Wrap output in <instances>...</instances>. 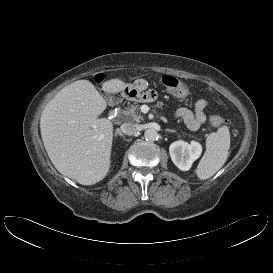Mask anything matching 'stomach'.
I'll return each instance as SVG.
<instances>
[{
	"mask_svg": "<svg viewBox=\"0 0 273 273\" xmlns=\"http://www.w3.org/2000/svg\"><path fill=\"white\" fill-rule=\"evenodd\" d=\"M146 87L139 88L136 86H126L122 90V96L132 100V101H139V102H151L156 99V93L152 90H148L144 92Z\"/></svg>",
	"mask_w": 273,
	"mask_h": 273,
	"instance_id": "obj_1",
	"label": "stomach"
}]
</instances>
